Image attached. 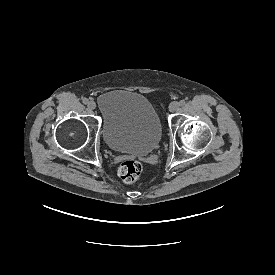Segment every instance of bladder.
<instances>
[{"label": "bladder", "instance_id": "obj_1", "mask_svg": "<svg viewBox=\"0 0 275 275\" xmlns=\"http://www.w3.org/2000/svg\"><path fill=\"white\" fill-rule=\"evenodd\" d=\"M96 106L102 118V134L109 148L147 155L161 137L160 118L141 94L116 90L100 95Z\"/></svg>", "mask_w": 275, "mask_h": 275}]
</instances>
